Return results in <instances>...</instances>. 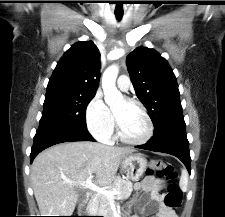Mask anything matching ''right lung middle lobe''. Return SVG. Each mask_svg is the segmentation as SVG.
Instances as JSON below:
<instances>
[{"mask_svg":"<svg viewBox=\"0 0 225 217\" xmlns=\"http://www.w3.org/2000/svg\"><path fill=\"white\" fill-rule=\"evenodd\" d=\"M94 96L66 92L46 93L40 122H54L85 129L86 107Z\"/></svg>","mask_w":225,"mask_h":217,"instance_id":"right-lung-middle-lobe-1","label":"right lung middle lobe"}]
</instances>
